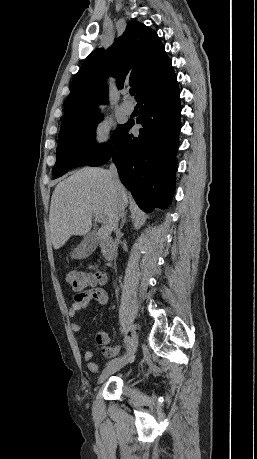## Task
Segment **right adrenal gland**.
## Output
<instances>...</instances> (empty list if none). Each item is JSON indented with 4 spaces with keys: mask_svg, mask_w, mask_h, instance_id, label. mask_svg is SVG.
Returning <instances> with one entry per match:
<instances>
[{
    "mask_svg": "<svg viewBox=\"0 0 257 459\" xmlns=\"http://www.w3.org/2000/svg\"><path fill=\"white\" fill-rule=\"evenodd\" d=\"M126 215H127V212L123 211L121 213V224H120V230L123 228L125 222H126Z\"/></svg>",
    "mask_w": 257,
    "mask_h": 459,
    "instance_id": "2a0ac1e0",
    "label": "right adrenal gland"
}]
</instances>
